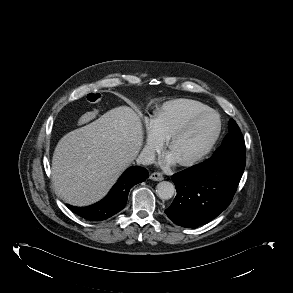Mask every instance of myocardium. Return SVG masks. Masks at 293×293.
Returning a JSON list of instances; mask_svg holds the SVG:
<instances>
[{"label":"myocardium","mask_w":293,"mask_h":293,"mask_svg":"<svg viewBox=\"0 0 293 293\" xmlns=\"http://www.w3.org/2000/svg\"><path fill=\"white\" fill-rule=\"evenodd\" d=\"M209 115H213L217 119V127H216L215 132L213 133V135L211 136V138L209 139L207 144L203 147V149L198 154H196L194 157L187 159L185 161H179V163L182 166L190 167V166H193V165L201 162L209 154V152L212 150V148L215 146V144L218 141L219 136L221 134V130H222V121H221L220 115L212 109H208V110L196 113V114L192 115L190 118H188L180 127H178L167 138L166 145H167V148L170 150V148L175 140H177L179 137L184 135L198 120H200L206 116H209Z\"/></svg>","instance_id":"obj_1"}]
</instances>
